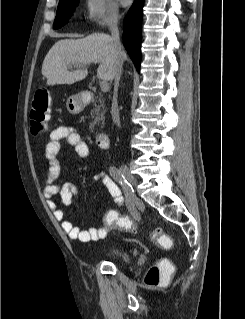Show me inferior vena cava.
Segmentation results:
<instances>
[{
	"instance_id": "inferior-vena-cava-1",
	"label": "inferior vena cava",
	"mask_w": 245,
	"mask_h": 319,
	"mask_svg": "<svg viewBox=\"0 0 245 319\" xmlns=\"http://www.w3.org/2000/svg\"><path fill=\"white\" fill-rule=\"evenodd\" d=\"M118 19H119L118 15L113 14L111 17V22H110L112 44L117 56L115 73H114V96H113V103L111 108V115H112L113 122L118 127H120L119 109L117 104V91H118L119 81H120L121 72H122L123 61L121 56L123 54V51H122V46H121L120 37H119Z\"/></svg>"
}]
</instances>
